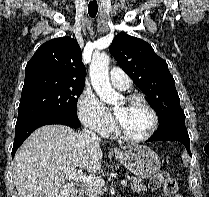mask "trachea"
Wrapping results in <instances>:
<instances>
[{
    "label": "trachea",
    "instance_id": "trachea-1",
    "mask_svg": "<svg viewBox=\"0 0 209 197\" xmlns=\"http://www.w3.org/2000/svg\"><path fill=\"white\" fill-rule=\"evenodd\" d=\"M97 11H98V5H97V2L96 1H91L89 4H88V13L89 15L94 18L97 14Z\"/></svg>",
    "mask_w": 209,
    "mask_h": 197
}]
</instances>
